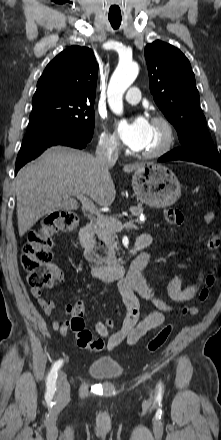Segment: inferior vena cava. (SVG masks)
I'll return each instance as SVG.
<instances>
[{"label": "inferior vena cava", "instance_id": "1", "mask_svg": "<svg viewBox=\"0 0 221 440\" xmlns=\"http://www.w3.org/2000/svg\"><path fill=\"white\" fill-rule=\"evenodd\" d=\"M95 155L98 161L114 165L118 159L117 143L110 139H103L98 143Z\"/></svg>", "mask_w": 221, "mask_h": 440}]
</instances>
